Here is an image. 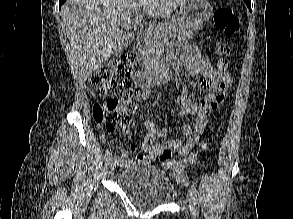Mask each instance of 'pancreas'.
<instances>
[{"label": "pancreas", "instance_id": "pancreas-1", "mask_svg": "<svg viewBox=\"0 0 293 219\" xmlns=\"http://www.w3.org/2000/svg\"><path fill=\"white\" fill-rule=\"evenodd\" d=\"M167 36L193 37L187 23L178 15L166 18L163 23L148 31L147 39L143 46V65L156 68L159 66Z\"/></svg>", "mask_w": 293, "mask_h": 219}]
</instances>
